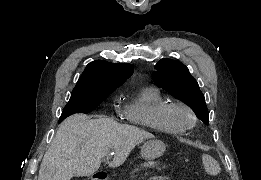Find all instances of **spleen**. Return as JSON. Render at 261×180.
<instances>
[{"instance_id":"3e777b00","label":"spleen","mask_w":261,"mask_h":180,"mask_svg":"<svg viewBox=\"0 0 261 180\" xmlns=\"http://www.w3.org/2000/svg\"><path fill=\"white\" fill-rule=\"evenodd\" d=\"M203 160L205 162V170L207 174H211V176H216V174H220L219 164L212 160L210 156H203Z\"/></svg>"}]
</instances>
